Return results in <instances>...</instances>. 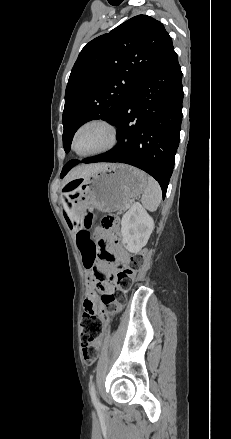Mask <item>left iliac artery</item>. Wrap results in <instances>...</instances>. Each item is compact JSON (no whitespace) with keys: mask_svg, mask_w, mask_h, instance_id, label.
<instances>
[{"mask_svg":"<svg viewBox=\"0 0 231 439\" xmlns=\"http://www.w3.org/2000/svg\"><path fill=\"white\" fill-rule=\"evenodd\" d=\"M89 393H90L91 400H92V403L94 404V406L97 409L101 408L102 404L97 399L94 382H91Z\"/></svg>","mask_w":231,"mask_h":439,"instance_id":"left-iliac-artery-1","label":"left iliac artery"}]
</instances>
